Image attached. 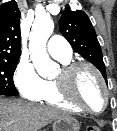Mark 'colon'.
Here are the masks:
<instances>
[{"label": "colon", "instance_id": "1", "mask_svg": "<svg viewBox=\"0 0 117 131\" xmlns=\"http://www.w3.org/2000/svg\"><path fill=\"white\" fill-rule=\"evenodd\" d=\"M86 131H102V130L96 125H90L86 128Z\"/></svg>", "mask_w": 117, "mask_h": 131}]
</instances>
